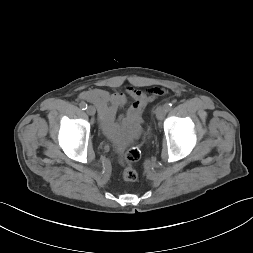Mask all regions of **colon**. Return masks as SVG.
<instances>
[{
    "mask_svg": "<svg viewBox=\"0 0 253 253\" xmlns=\"http://www.w3.org/2000/svg\"><path fill=\"white\" fill-rule=\"evenodd\" d=\"M141 151L138 146L130 148L124 157L122 177L126 181H135L138 177L134 164L140 159Z\"/></svg>",
    "mask_w": 253,
    "mask_h": 253,
    "instance_id": "5ec220e1",
    "label": "colon"
}]
</instances>
